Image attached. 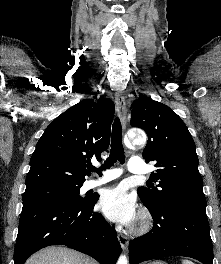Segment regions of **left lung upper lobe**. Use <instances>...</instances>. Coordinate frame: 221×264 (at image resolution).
<instances>
[{
	"mask_svg": "<svg viewBox=\"0 0 221 264\" xmlns=\"http://www.w3.org/2000/svg\"><path fill=\"white\" fill-rule=\"evenodd\" d=\"M132 107L131 125L144 129L148 135L143 158L153 161L157 168L151 178L158 185L138 188L144 205L206 207L195 143L184 122L168 106L147 97L137 99Z\"/></svg>",
	"mask_w": 221,
	"mask_h": 264,
	"instance_id": "obj_1",
	"label": "left lung upper lobe"
}]
</instances>
